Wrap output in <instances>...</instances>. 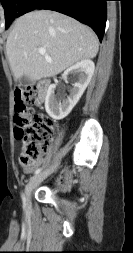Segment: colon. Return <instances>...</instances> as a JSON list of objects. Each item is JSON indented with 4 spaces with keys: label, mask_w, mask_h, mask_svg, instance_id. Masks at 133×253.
Wrapping results in <instances>:
<instances>
[{
    "label": "colon",
    "mask_w": 133,
    "mask_h": 253,
    "mask_svg": "<svg viewBox=\"0 0 133 253\" xmlns=\"http://www.w3.org/2000/svg\"><path fill=\"white\" fill-rule=\"evenodd\" d=\"M15 101L14 134L22 141L19 163L28 168L36 164L46 151L55 124L43 114H34L33 107L39 103L35 87L18 88Z\"/></svg>",
    "instance_id": "1"
}]
</instances>
